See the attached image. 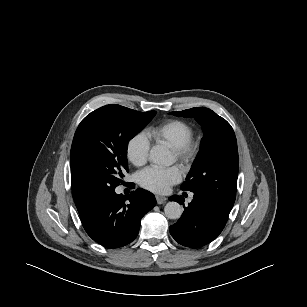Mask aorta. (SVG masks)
Instances as JSON below:
<instances>
[{
    "mask_svg": "<svg viewBox=\"0 0 307 307\" xmlns=\"http://www.w3.org/2000/svg\"><path fill=\"white\" fill-rule=\"evenodd\" d=\"M149 160L160 166H169L171 160L169 152L163 146H154L150 150ZM165 216L169 219H179L182 215V207L175 201L168 202L164 208Z\"/></svg>",
    "mask_w": 307,
    "mask_h": 307,
    "instance_id": "1",
    "label": "aorta"
}]
</instances>
